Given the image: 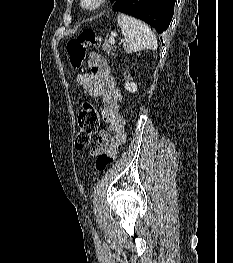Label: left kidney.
I'll list each match as a JSON object with an SVG mask.
<instances>
[{"instance_id":"5707ae66","label":"left kidney","mask_w":233,"mask_h":263,"mask_svg":"<svg viewBox=\"0 0 233 263\" xmlns=\"http://www.w3.org/2000/svg\"><path fill=\"white\" fill-rule=\"evenodd\" d=\"M125 89L131 93H134L137 91V85L136 83L127 80L125 83Z\"/></svg>"}]
</instances>
